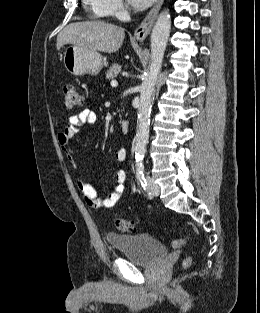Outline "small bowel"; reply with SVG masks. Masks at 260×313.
<instances>
[{"label":"small bowel","mask_w":260,"mask_h":313,"mask_svg":"<svg viewBox=\"0 0 260 313\" xmlns=\"http://www.w3.org/2000/svg\"><path fill=\"white\" fill-rule=\"evenodd\" d=\"M97 123V115L95 112L84 109L69 117L68 124L57 135V142L59 146L66 152L67 160L70 165L77 169V165L74 157L68 153L67 147L76 134L78 127L81 125H95ZM127 151L124 148H120L115 152V160L122 163L126 160ZM76 184L81 190L84 201L95 208H111L113 207L126 192V172L120 170L115 175V185L111 189L109 195L105 198H99L96 190L80 175H77Z\"/></svg>","instance_id":"1"}]
</instances>
